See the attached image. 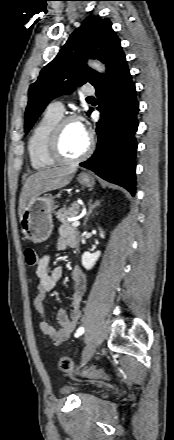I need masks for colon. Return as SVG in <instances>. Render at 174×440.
Here are the masks:
<instances>
[{
    "mask_svg": "<svg viewBox=\"0 0 174 440\" xmlns=\"http://www.w3.org/2000/svg\"><path fill=\"white\" fill-rule=\"evenodd\" d=\"M24 258L29 267H35L38 263L37 253L33 248H26L24 250ZM59 369L68 374H78L94 379H109L107 374L94 368L77 369L73 361L68 357L60 358Z\"/></svg>",
    "mask_w": 174,
    "mask_h": 440,
    "instance_id": "obj_1",
    "label": "colon"
}]
</instances>
